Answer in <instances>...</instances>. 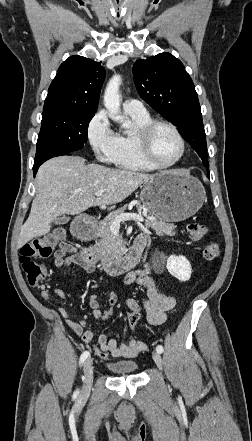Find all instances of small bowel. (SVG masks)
Masks as SVG:
<instances>
[{"instance_id": "small-bowel-1", "label": "small bowel", "mask_w": 252, "mask_h": 441, "mask_svg": "<svg viewBox=\"0 0 252 441\" xmlns=\"http://www.w3.org/2000/svg\"><path fill=\"white\" fill-rule=\"evenodd\" d=\"M144 243L145 238L143 235H139L135 240V243ZM54 265L57 268H64L71 265H79L86 272L93 273L96 269V265L91 262H87L81 255L76 252V249L67 245L64 248H60L55 253ZM136 283L140 285L145 293L146 297L142 303L133 299L126 298L123 303L124 306L130 308H137L140 311L144 310L147 321L151 325H160L165 322L167 318V312L174 308L176 299L173 295H165L160 293L155 285V281L152 276L151 264L148 262L145 264L142 270L129 271L122 280V284L130 285ZM54 293L59 298H66V293L61 288H56ZM42 297L50 301L52 294L48 290L42 292ZM88 306L91 309V314L94 318L99 319L102 313L100 307L99 297L95 293H91L87 297ZM118 297L114 291H110L108 298V305H116ZM59 314L65 319L68 327H70L77 336L88 343L93 339V333L90 330L85 329V321L73 320L68 311L65 308H58ZM98 344L100 350L107 352L112 358H124L132 359L138 356L141 352H144L147 348L146 344L141 340L130 339L125 343L118 345L116 340L109 338L106 334H101L98 337Z\"/></svg>"}]
</instances>
